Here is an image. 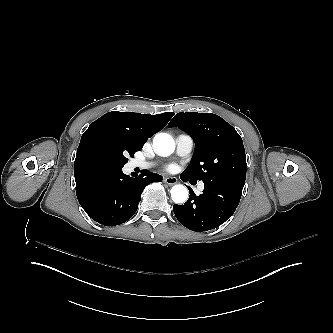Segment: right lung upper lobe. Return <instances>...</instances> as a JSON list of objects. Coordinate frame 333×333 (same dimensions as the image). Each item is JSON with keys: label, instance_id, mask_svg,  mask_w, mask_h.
I'll use <instances>...</instances> for the list:
<instances>
[{"label": "right lung upper lobe", "instance_id": "right-lung-upper-lobe-1", "mask_svg": "<svg viewBox=\"0 0 333 333\" xmlns=\"http://www.w3.org/2000/svg\"><path fill=\"white\" fill-rule=\"evenodd\" d=\"M173 115L172 112L142 115L140 113L112 111L88 127L82 135L79 145L81 146L87 138L94 134H104L123 139L141 150L147 139L166 126Z\"/></svg>", "mask_w": 333, "mask_h": 333}]
</instances>
